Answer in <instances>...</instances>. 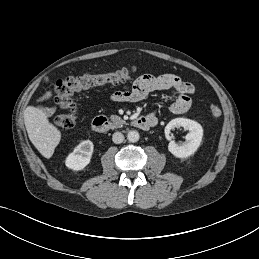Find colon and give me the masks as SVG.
I'll use <instances>...</instances> for the list:
<instances>
[{"label":"colon","mask_w":259,"mask_h":259,"mask_svg":"<svg viewBox=\"0 0 259 259\" xmlns=\"http://www.w3.org/2000/svg\"><path fill=\"white\" fill-rule=\"evenodd\" d=\"M136 70L134 68H123L109 73L84 75L61 79L56 84L55 101L63 110L56 117V124L60 129L70 130L76 125L77 106L73 95L83 89L100 86L104 84H118L129 80ZM213 117H219L221 111L216 105L209 107Z\"/></svg>","instance_id":"1"}]
</instances>
